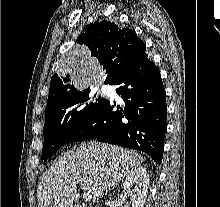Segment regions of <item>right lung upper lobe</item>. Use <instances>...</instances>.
<instances>
[{"label": "right lung upper lobe", "instance_id": "cb5924a9", "mask_svg": "<svg viewBox=\"0 0 220 207\" xmlns=\"http://www.w3.org/2000/svg\"><path fill=\"white\" fill-rule=\"evenodd\" d=\"M77 43L84 44L90 50L100 65L106 70V80L110 83L120 71L133 59L146 50L145 43L136 33L122 26L106 20L96 21L85 27ZM77 91L69 74H54L50 82L47 100V112L51 106L65 95Z\"/></svg>", "mask_w": 220, "mask_h": 207}]
</instances>
